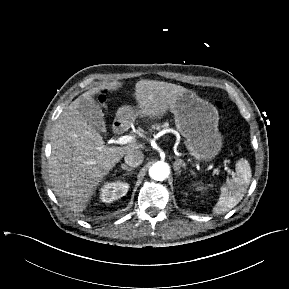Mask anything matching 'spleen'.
<instances>
[{
  "instance_id": "obj_1",
  "label": "spleen",
  "mask_w": 289,
  "mask_h": 289,
  "mask_svg": "<svg viewBox=\"0 0 289 289\" xmlns=\"http://www.w3.org/2000/svg\"><path fill=\"white\" fill-rule=\"evenodd\" d=\"M235 176L226 181L220 188V197L213 208L214 213H226L234 208L244 197L251 181V168L246 159L236 163Z\"/></svg>"
}]
</instances>
